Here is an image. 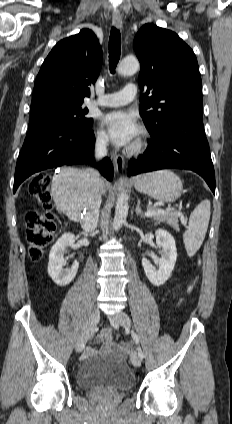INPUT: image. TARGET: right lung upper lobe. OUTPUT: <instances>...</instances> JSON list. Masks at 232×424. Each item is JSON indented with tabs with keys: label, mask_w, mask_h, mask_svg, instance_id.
<instances>
[{
	"label": "right lung upper lobe",
	"mask_w": 232,
	"mask_h": 424,
	"mask_svg": "<svg viewBox=\"0 0 232 424\" xmlns=\"http://www.w3.org/2000/svg\"><path fill=\"white\" fill-rule=\"evenodd\" d=\"M102 66V49L89 29L59 41L37 75L31 108L50 103L82 105Z\"/></svg>",
	"instance_id": "cb5924a9"
}]
</instances>
